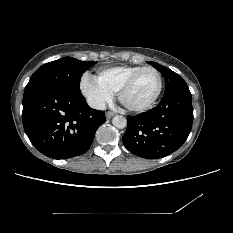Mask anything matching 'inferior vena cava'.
Wrapping results in <instances>:
<instances>
[{"label": "inferior vena cava", "mask_w": 233, "mask_h": 233, "mask_svg": "<svg viewBox=\"0 0 233 233\" xmlns=\"http://www.w3.org/2000/svg\"><path fill=\"white\" fill-rule=\"evenodd\" d=\"M88 104L91 108H94V109H98V110L106 109L105 102L102 100H89Z\"/></svg>", "instance_id": "inferior-vena-cava-1"}]
</instances>
